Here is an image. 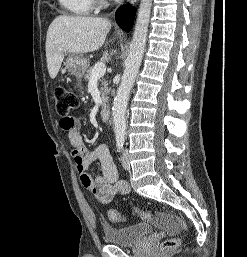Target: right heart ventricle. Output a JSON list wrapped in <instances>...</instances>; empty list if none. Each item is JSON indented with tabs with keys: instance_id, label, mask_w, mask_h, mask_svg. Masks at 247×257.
Instances as JSON below:
<instances>
[{
	"instance_id": "e07e8e85",
	"label": "right heart ventricle",
	"mask_w": 247,
	"mask_h": 257,
	"mask_svg": "<svg viewBox=\"0 0 247 257\" xmlns=\"http://www.w3.org/2000/svg\"><path fill=\"white\" fill-rule=\"evenodd\" d=\"M61 7L68 13L77 16L88 15L93 7L95 0H58Z\"/></svg>"
}]
</instances>
